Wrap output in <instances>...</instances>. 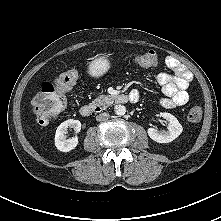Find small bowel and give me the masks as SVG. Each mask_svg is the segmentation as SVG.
<instances>
[{"instance_id":"c3829d8e","label":"small bowel","mask_w":221,"mask_h":221,"mask_svg":"<svg viewBox=\"0 0 221 221\" xmlns=\"http://www.w3.org/2000/svg\"><path fill=\"white\" fill-rule=\"evenodd\" d=\"M165 64L172 74L160 73L157 77L164 94L160 103L166 108L185 105L189 100L187 88L192 79L191 73L174 57H167ZM131 94L139 96L138 91H132Z\"/></svg>"}]
</instances>
